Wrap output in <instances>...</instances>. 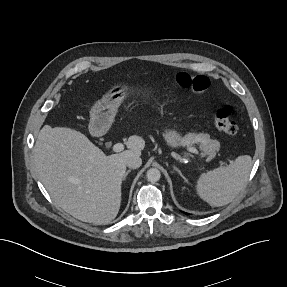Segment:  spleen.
Listing matches in <instances>:
<instances>
[{"mask_svg": "<svg viewBox=\"0 0 287 287\" xmlns=\"http://www.w3.org/2000/svg\"><path fill=\"white\" fill-rule=\"evenodd\" d=\"M252 168V158L242 155L228 166L201 174L197 193L208 204L220 207L229 204L244 188Z\"/></svg>", "mask_w": 287, "mask_h": 287, "instance_id": "3e777b00", "label": "spleen"}]
</instances>
